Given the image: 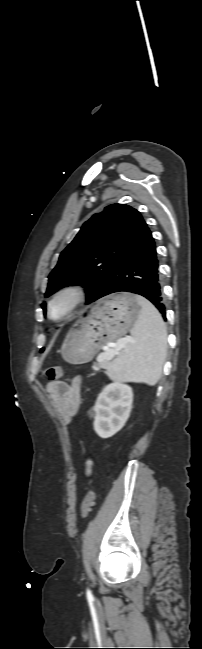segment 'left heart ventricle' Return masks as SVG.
<instances>
[{
	"mask_svg": "<svg viewBox=\"0 0 202 649\" xmlns=\"http://www.w3.org/2000/svg\"><path fill=\"white\" fill-rule=\"evenodd\" d=\"M65 307H66V303L64 301H60L56 303L53 307L54 315L56 316L60 315L65 310Z\"/></svg>",
	"mask_w": 202,
	"mask_h": 649,
	"instance_id": "obj_1",
	"label": "left heart ventricle"
}]
</instances>
